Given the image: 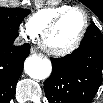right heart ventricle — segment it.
<instances>
[{"mask_svg": "<svg viewBox=\"0 0 103 103\" xmlns=\"http://www.w3.org/2000/svg\"><path fill=\"white\" fill-rule=\"evenodd\" d=\"M68 8L70 6L61 5L40 9L27 19L25 27H27L33 37H37L54 17Z\"/></svg>", "mask_w": 103, "mask_h": 103, "instance_id": "1", "label": "right heart ventricle"}]
</instances>
